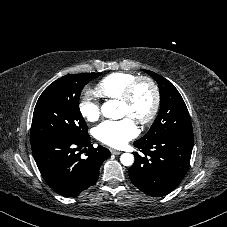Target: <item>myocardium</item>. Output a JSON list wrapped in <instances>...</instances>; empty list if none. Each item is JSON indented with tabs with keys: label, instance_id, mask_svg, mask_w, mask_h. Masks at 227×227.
Segmentation results:
<instances>
[{
	"label": "myocardium",
	"instance_id": "1",
	"mask_svg": "<svg viewBox=\"0 0 227 227\" xmlns=\"http://www.w3.org/2000/svg\"><path fill=\"white\" fill-rule=\"evenodd\" d=\"M146 83L150 86L153 93V104L149 113L137 123L141 126L149 124L157 115L160 107V91L155 81L148 76H139L133 80L125 89L123 95L119 98L120 103L129 105L133 102L138 87Z\"/></svg>",
	"mask_w": 227,
	"mask_h": 227
}]
</instances>
